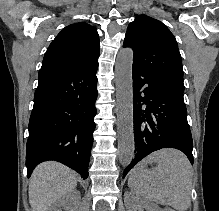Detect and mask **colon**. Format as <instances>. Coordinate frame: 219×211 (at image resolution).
<instances>
[{
    "instance_id": "5ec220e1",
    "label": "colon",
    "mask_w": 219,
    "mask_h": 211,
    "mask_svg": "<svg viewBox=\"0 0 219 211\" xmlns=\"http://www.w3.org/2000/svg\"><path fill=\"white\" fill-rule=\"evenodd\" d=\"M166 211H174L173 209H171V208H168V209H166Z\"/></svg>"
}]
</instances>
